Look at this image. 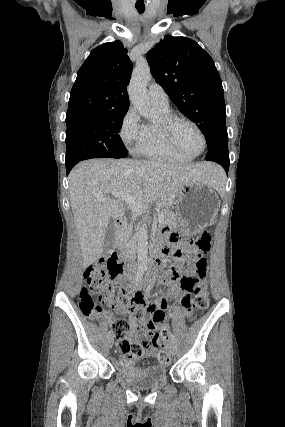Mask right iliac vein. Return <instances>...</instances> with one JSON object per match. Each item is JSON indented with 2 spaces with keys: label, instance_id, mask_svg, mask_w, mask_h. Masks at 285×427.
I'll return each instance as SVG.
<instances>
[{
  "label": "right iliac vein",
  "instance_id": "1",
  "mask_svg": "<svg viewBox=\"0 0 285 427\" xmlns=\"http://www.w3.org/2000/svg\"><path fill=\"white\" fill-rule=\"evenodd\" d=\"M113 338L112 337H109L108 339H107V342H106V346H107V348L108 349H110L112 346H113Z\"/></svg>",
  "mask_w": 285,
  "mask_h": 427
}]
</instances>
